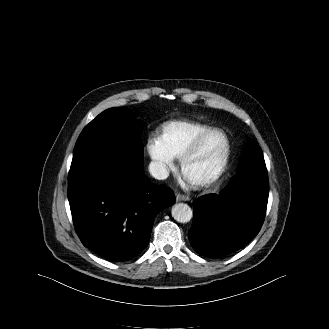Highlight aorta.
Listing matches in <instances>:
<instances>
[{
  "label": "aorta",
  "instance_id": "obj_1",
  "mask_svg": "<svg viewBox=\"0 0 329 329\" xmlns=\"http://www.w3.org/2000/svg\"><path fill=\"white\" fill-rule=\"evenodd\" d=\"M172 217L180 223H187L192 219L193 212L189 205L177 203L172 207Z\"/></svg>",
  "mask_w": 329,
  "mask_h": 329
}]
</instances>
